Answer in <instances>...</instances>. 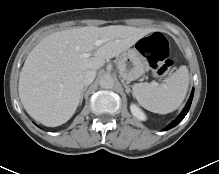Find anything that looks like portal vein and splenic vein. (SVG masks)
<instances>
[{"label": "portal vein and splenic vein", "mask_w": 219, "mask_h": 174, "mask_svg": "<svg viewBox=\"0 0 219 174\" xmlns=\"http://www.w3.org/2000/svg\"><path fill=\"white\" fill-rule=\"evenodd\" d=\"M103 43V40H97L96 42H95V46H100L101 44ZM91 56V53H84L83 54V57H85V58H89Z\"/></svg>", "instance_id": "18ae733b"}]
</instances>
